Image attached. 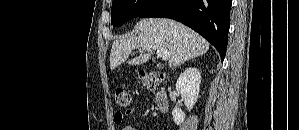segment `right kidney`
Listing matches in <instances>:
<instances>
[{"label":"right kidney","instance_id":"ca27d5eb","mask_svg":"<svg viewBox=\"0 0 299 130\" xmlns=\"http://www.w3.org/2000/svg\"><path fill=\"white\" fill-rule=\"evenodd\" d=\"M201 75L197 68H187L178 78L176 90L181 95L187 109L190 111L197 102L200 91ZM173 120L180 125L185 120V113L179 109L172 110Z\"/></svg>","mask_w":299,"mask_h":130}]
</instances>
